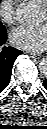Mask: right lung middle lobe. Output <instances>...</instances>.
<instances>
[{
  "instance_id": "obj_1",
  "label": "right lung middle lobe",
  "mask_w": 47,
  "mask_h": 129,
  "mask_svg": "<svg viewBox=\"0 0 47 129\" xmlns=\"http://www.w3.org/2000/svg\"><path fill=\"white\" fill-rule=\"evenodd\" d=\"M5 32H6L5 27L0 22V34L5 33Z\"/></svg>"
}]
</instances>
